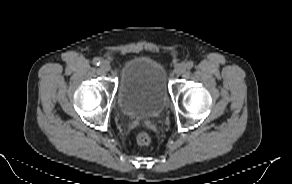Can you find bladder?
<instances>
[{
  "label": "bladder",
  "mask_w": 292,
  "mask_h": 184,
  "mask_svg": "<svg viewBox=\"0 0 292 184\" xmlns=\"http://www.w3.org/2000/svg\"><path fill=\"white\" fill-rule=\"evenodd\" d=\"M169 99L167 74L156 60L136 56L125 62L120 70L117 103L127 117H157Z\"/></svg>",
  "instance_id": "bladder-1"
}]
</instances>
